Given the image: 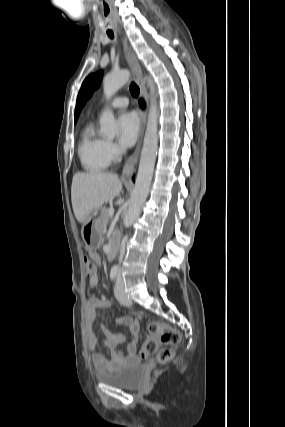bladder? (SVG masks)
I'll use <instances>...</instances> for the list:
<instances>
[{"label":"bladder","instance_id":"bladder-1","mask_svg":"<svg viewBox=\"0 0 285 427\" xmlns=\"http://www.w3.org/2000/svg\"><path fill=\"white\" fill-rule=\"evenodd\" d=\"M97 379L106 385L132 389L140 385L143 379V366L139 363L128 365L116 371L99 373Z\"/></svg>","mask_w":285,"mask_h":427}]
</instances>
